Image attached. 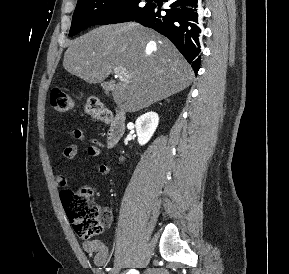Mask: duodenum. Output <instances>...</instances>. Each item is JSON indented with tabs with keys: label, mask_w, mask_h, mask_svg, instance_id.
<instances>
[{
	"label": "duodenum",
	"mask_w": 289,
	"mask_h": 274,
	"mask_svg": "<svg viewBox=\"0 0 289 274\" xmlns=\"http://www.w3.org/2000/svg\"><path fill=\"white\" fill-rule=\"evenodd\" d=\"M126 128V113L123 109L117 108L114 111L110 125L107 131L106 144L113 148L118 144L124 135Z\"/></svg>",
	"instance_id": "1"
}]
</instances>
